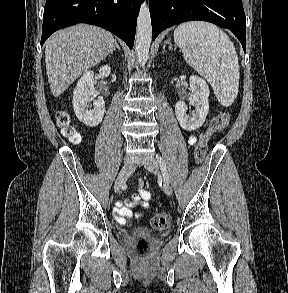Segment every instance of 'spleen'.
I'll return each mask as SVG.
<instances>
[{"label":"spleen","mask_w":288,"mask_h":293,"mask_svg":"<svg viewBox=\"0 0 288 293\" xmlns=\"http://www.w3.org/2000/svg\"><path fill=\"white\" fill-rule=\"evenodd\" d=\"M174 41L188 65L212 86L218 101L230 106L238 94L240 71L228 35L212 23L191 21L175 29Z\"/></svg>","instance_id":"3e777b00"}]
</instances>
